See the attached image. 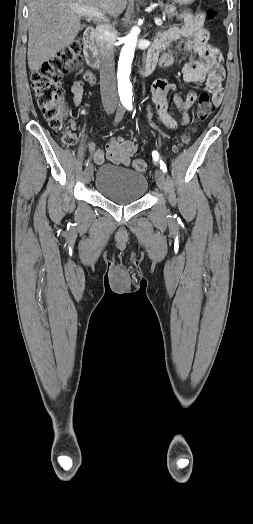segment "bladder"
<instances>
[{"label": "bladder", "mask_w": 253, "mask_h": 524, "mask_svg": "<svg viewBox=\"0 0 253 524\" xmlns=\"http://www.w3.org/2000/svg\"><path fill=\"white\" fill-rule=\"evenodd\" d=\"M95 187L107 200L127 205L143 198L148 181L145 175L131 169L104 165L97 171Z\"/></svg>", "instance_id": "obj_1"}]
</instances>
